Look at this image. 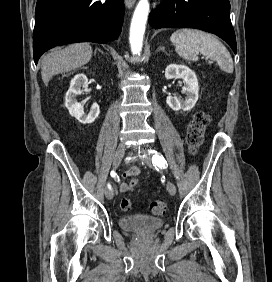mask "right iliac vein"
I'll return each instance as SVG.
<instances>
[{
  "instance_id": "1",
  "label": "right iliac vein",
  "mask_w": 272,
  "mask_h": 282,
  "mask_svg": "<svg viewBox=\"0 0 272 282\" xmlns=\"http://www.w3.org/2000/svg\"><path fill=\"white\" fill-rule=\"evenodd\" d=\"M125 153H126V146H125L124 143H121L117 147L115 155H114V159H113L114 168L119 166V164L121 163V160L124 157ZM105 195H106V198H108V199H112L114 197V189L111 187V185H110V187H108L106 189Z\"/></svg>"
}]
</instances>
